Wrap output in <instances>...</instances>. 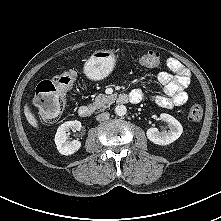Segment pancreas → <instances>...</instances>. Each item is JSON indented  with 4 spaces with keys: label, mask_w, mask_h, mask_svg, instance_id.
Segmentation results:
<instances>
[{
    "label": "pancreas",
    "mask_w": 221,
    "mask_h": 221,
    "mask_svg": "<svg viewBox=\"0 0 221 221\" xmlns=\"http://www.w3.org/2000/svg\"><path fill=\"white\" fill-rule=\"evenodd\" d=\"M115 98H116L115 95L99 94L96 97L95 102L93 103V106L104 110L108 108L115 101Z\"/></svg>",
    "instance_id": "1"
}]
</instances>
